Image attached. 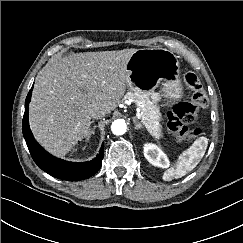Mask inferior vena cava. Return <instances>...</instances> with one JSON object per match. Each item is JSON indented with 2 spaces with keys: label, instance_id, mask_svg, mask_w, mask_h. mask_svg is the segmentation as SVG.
<instances>
[{
  "label": "inferior vena cava",
  "instance_id": "inferior-vena-cava-1",
  "mask_svg": "<svg viewBox=\"0 0 243 243\" xmlns=\"http://www.w3.org/2000/svg\"><path fill=\"white\" fill-rule=\"evenodd\" d=\"M90 114L93 118L100 119L104 117L107 114V112L106 109H104L103 107L95 105L90 109Z\"/></svg>",
  "mask_w": 243,
  "mask_h": 243
}]
</instances>
